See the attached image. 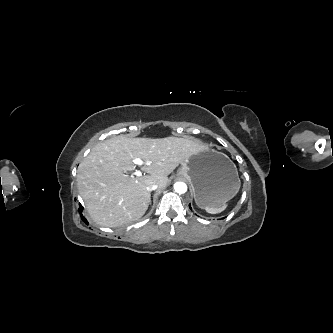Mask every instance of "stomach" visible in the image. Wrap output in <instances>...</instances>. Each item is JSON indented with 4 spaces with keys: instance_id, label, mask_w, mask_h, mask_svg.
<instances>
[{
    "instance_id": "0dacf381",
    "label": "stomach",
    "mask_w": 333,
    "mask_h": 333,
    "mask_svg": "<svg viewBox=\"0 0 333 333\" xmlns=\"http://www.w3.org/2000/svg\"><path fill=\"white\" fill-rule=\"evenodd\" d=\"M177 176L190 182L195 202L202 209L222 207L238 192L236 165L215 149H205L188 157L181 163Z\"/></svg>"
}]
</instances>
